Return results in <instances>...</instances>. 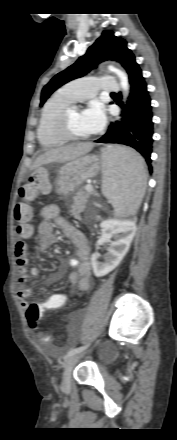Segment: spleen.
Instances as JSON below:
<instances>
[{
	"mask_svg": "<svg viewBox=\"0 0 177 440\" xmlns=\"http://www.w3.org/2000/svg\"><path fill=\"white\" fill-rule=\"evenodd\" d=\"M102 159L103 194L112 203L116 215H133L139 209L145 193L143 158L126 147H109L102 150Z\"/></svg>",
	"mask_w": 177,
	"mask_h": 440,
	"instance_id": "spleen-1",
	"label": "spleen"
}]
</instances>
